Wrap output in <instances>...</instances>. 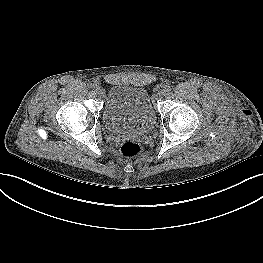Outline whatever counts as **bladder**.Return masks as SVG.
<instances>
[{"label":"bladder","mask_w":263,"mask_h":263,"mask_svg":"<svg viewBox=\"0 0 263 263\" xmlns=\"http://www.w3.org/2000/svg\"><path fill=\"white\" fill-rule=\"evenodd\" d=\"M156 115L148 95L142 88L112 85L106 95L103 124L114 134L148 133L154 126Z\"/></svg>","instance_id":"bladder-1"}]
</instances>
